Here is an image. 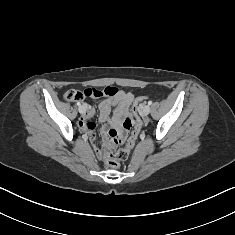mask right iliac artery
Listing matches in <instances>:
<instances>
[{"mask_svg": "<svg viewBox=\"0 0 235 235\" xmlns=\"http://www.w3.org/2000/svg\"><path fill=\"white\" fill-rule=\"evenodd\" d=\"M77 105L80 106L81 105L80 102H77Z\"/></svg>", "mask_w": 235, "mask_h": 235, "instance_id": "82829eb1", "label": "right iliac artery"}]
</instances>
